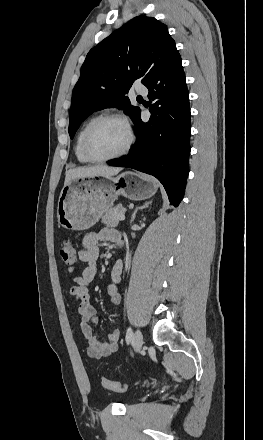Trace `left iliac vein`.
Segmentation results:
<instances>
[{"label":"left iliac vein","mask_w":263,"mask_h":440,"mask_svg":"<svg viewBox=\"0 0 263 440\" xmlns=\"http://www.w3.org/2000/svg\"><path fill=\"white\" fill-rule=\"evenodd\" d=\"M143 345V336L140 330H136L133 338V346L135 351H139Z\"/></svg>","instance_id":"4c4485c4"}]
</instances>
